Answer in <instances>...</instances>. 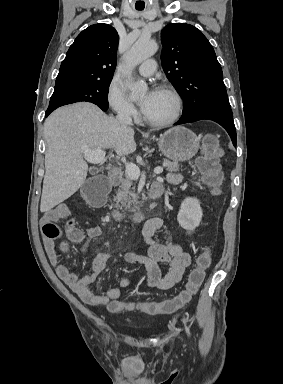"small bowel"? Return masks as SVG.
<instances>
[{
  "instance_id": "1",
  "label": "small bowel",
  "mask_w": 283,
  "mask_h": 384,
  "mask_svg": "<svg viewBox=\"0 0 283 384\" xmlns=\"http://www.w3.org/2000/svg\"><path fill=\"white\" fill-rule=\"evenodd\" d=\"M167 181L171 184H179L182 181V176L179 174H168ZM69 215V210L65 204H58L47 211L42 217V233L46 254L50 263L55 268L57 275L80 297V299L89 305L99 306L107 305L117 301L121 296L122 291L130 285L128 278L118 280L116 286L105 291L103 294H96L90 291L89 285L94 282L101 274L110 255L102 253L98 255L92 265L91 271L78 278L65 264L59 262L58 252L54 243V238L49 237L45 233L47 224H54L60 219L66 218ZM164 226L163 220L158 217H153L147 220L143 226L142 234L145 242L148 245V253L146 256L127 253L124 260L127 263H140L147 271V285L157 289H169L178 284L191 263L190 255L183 248L168 239L158 242L154 239L155 234ZM88 239H94L101 234L99 226L88 227L85 231ZM86 247L83 248V251ZM158 262L169 265V272L162 276Z\"/></svg>"
}]
</instances>
